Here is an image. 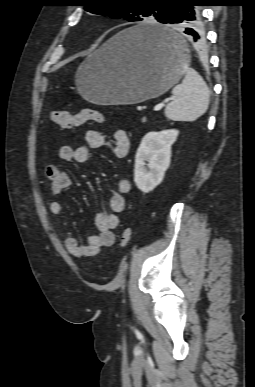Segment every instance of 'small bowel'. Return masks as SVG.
<instances>
[{
  "instance_id": "c3829d8e",
  "label": "small bowel",
  "mask_w": 255,
  "mask_h": 387,
  "mask_svg": "<svg viewBox=\"0 0 255 387\" xmlns=\"http://www.w3.org/2000/svg\"><path fill=\"white\" fill-rule=\"evenodd\" d=\"M85 145L73 147L63 145L59 148L57 157L61 161L85 163L90 157V149L108 147L116 158H124L130 150V139L123 129H116L113 139L108 140L101 132L89 129L85 132ZM45 176L50 184L53 195L58 196L69 189L72 182L69 174L56 163L45 167ZM131 190V182L127 178H120L116 184V192L109 199L108 211H97L94 215V224L98 230L87 238L86 244H80L71 232H66L64 244L67 251L78 258H89L98 255L102 248L111 246L115 237L113 229L119 224L118 214L125 209L124 195ZM52 215L60 217L64 213V206L60 201L50 203Z\"/></svg>"
}]
</instances>
